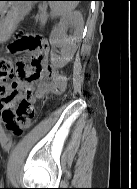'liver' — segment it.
<instances>
[{"label": "liver", "instance_id": "liver-1", "mask_svg": "<svg viewBox=\"0 0 137 189\" xmlns=\"http://www.w3.org/2000/svg\"><path fill=\"white\" fill-rule=\"evenodd\" d=\"M5 4H6L5 2H0V10L4 8Z\"/></svg>", "mask_w": 137, "mask_h": 189}]
</instances>
